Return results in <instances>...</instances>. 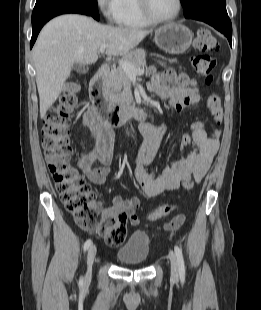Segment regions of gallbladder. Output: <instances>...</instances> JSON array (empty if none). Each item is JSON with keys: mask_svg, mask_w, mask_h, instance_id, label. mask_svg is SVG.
Listing matches in <instances>:
<instances>
[{"mask_svg": "<svg viewBox=\"0 0 261 310\" xmlns=\"http://www.w3.org/2000/svg\"><path fill=\"white\" fill-rule=\"evenodd\" d=\"M75 69L79 72H84L85 67L81 64H75Z\"/></svg>", "mask_w": 261, "mask_h": 310, "instance_id": "bac80fb5", "label": "gallbladder"}]
</instances>
